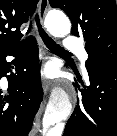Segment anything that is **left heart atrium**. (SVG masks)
<instances>
[{
	"label": "left heart atrium",
	"instance_id": "left-heart-atrium-1",
	"mask_svg": "<svg viewBox=\"0 0 117 136\" xmlns=\"http://www.w3.org/2000/svg\"><path fill=\"white\" fill-rule=\"evenodd\" d=\"M44 74L46 76H52L53 75V69L51 67H46L44 70Z\"/></svg>",
	"mask_w": 117,
	"mask_h": 136
}]
</instances>
